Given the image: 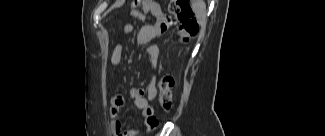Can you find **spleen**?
<instances>
[{
  "label": "spleen",
  "mask_w": 325,
  "mask_h": 136,
  "mask_svg": "<svg viewBox=\"0 0 325 136\" xmlns=\"http://www.w3.org/2000/svg\"><path fill=\"white\" fill-rule=\"evenodd\" d=\"M200 4H201V10L198 13V17L199 18H204L205 17V4H204L203 1H201Z\"/></svg>",
  "instance_id": "1"
}]
</instances>
